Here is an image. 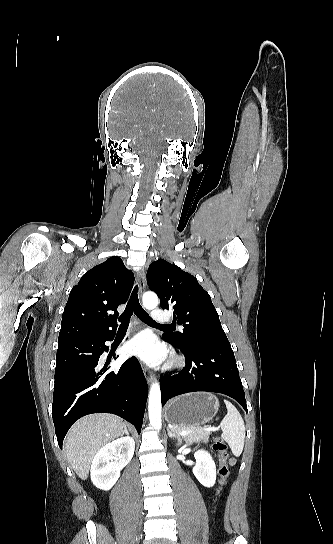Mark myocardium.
<instances>
[{
  "instance_id": "f54148a6",
  "label": "myocardium",
  "mask_w": 333,
  "mask_h": 544,
  "mask_svg": "<svg viewBox=\"0 0 333 544\" xmlns=\"http://www.w3.org/2000/svg\"><path fill=\"white\" fill-rule=\"evenodd\" d=\"M181 364V361L178 357H173L172 361H171V365L172 366H178Z\"/></svg>"
}]
</instances>
